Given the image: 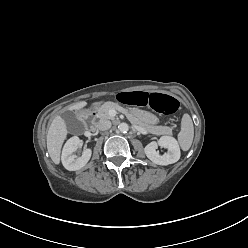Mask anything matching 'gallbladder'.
<instances>
[{
	"label": "gallbladder",
	"instance_id": "obj_1",
	"mask_svg": "<svg viewBox=\"0 0 248 248\" xmlns=\"http://www.w3.org/2000/svg\"><path fill=\"white\" fill-rule=\"evenodd\" d=\"M65 119H67L68 123H69V129L71 131H79L82 129L83 125L80 121L77 120V118L75 117V115L72 112H66L65 113Z\"/></svg>",
	"mask_w": 248,
	"mask_h": 248
}]
</instances>
